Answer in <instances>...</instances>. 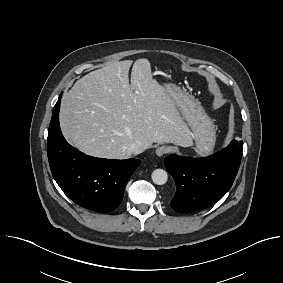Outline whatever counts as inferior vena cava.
<instances>
[{
    "label": "inferior vena cava",
    "mask_w": 283,
    "mask_h": 283,
    "mask_svg": "<svg viewBox=\"0 0 283 283\" xmlns=\"http://www.w3.org/2000/svg\"><path fill=\"white\" fill-rule=\"evenodd\" d=\"M129 150L133 154H140L145 150V147L137 142H133L129 145Z\"/></svg>",
    "instance_id": "inferior-vena-cava-1"
}]
</instances>
